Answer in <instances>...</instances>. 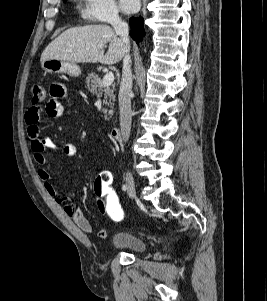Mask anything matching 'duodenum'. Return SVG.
I'll use <instances>...</instances> for the list:
<instances>
[{"label":"duodenum","instance_id":"obj_1","mask_svg":"<svg viewBox=\"0 0 267 301\" xmlns=\"http://www.w3.org/2000/svg\"><path fill=\"white\" fill-rule=\"evenodd\" d=\"M111 137L113 139H119L121 136V129L120 127H113L110 131Z\"/></svg>","mask_w":267,"mask_h":301}]
</instances>
